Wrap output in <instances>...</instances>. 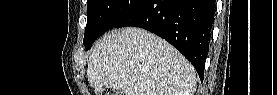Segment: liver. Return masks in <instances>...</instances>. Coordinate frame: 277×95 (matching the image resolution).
<instances>
[{
	"label": "liver",
	"instance_id": "6515ba94",
	"mask_svg": "<svg viewBox=\"0 0 277 95\" xmlns=\"http://www.w3.org/2000/svg\"><path fill=\"white\" fill-rule=\"evenodd\" d=\"M87 77L95 89L111 86L124 95H193L197 82L178 50L136 27L111 31L95 44Z\"/></svg>",
	"mask_w": 277,
	"mask_h": 95
}]
</instances>
